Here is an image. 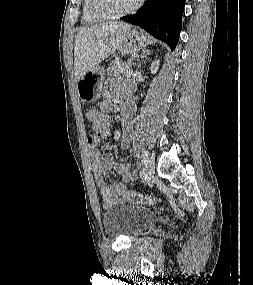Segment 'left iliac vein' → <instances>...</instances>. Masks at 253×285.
I'll return each instance as SVG.
<instances>
[{"instance_id":"4c4485c4","label":"left iliac vein","mask_w":253,"mask_h":285,"mask_svg":"<svg viewBox=\"0 0 253 285\" xmlns=\"http://www.w3.org/2000/svg\"><path fill=\"white\" fill-rule=\"evenodd\" d=\"M154 172H155V161H154V158L150 156L147 159L146 167L144 171L145 181L149 182L153 178Z\"/></svg>"}]
</instances>
